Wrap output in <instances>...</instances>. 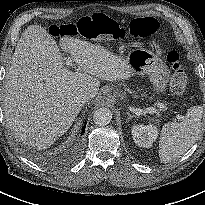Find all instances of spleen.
Segmentation results:
<instances>
[{
  "label": "spleen",
  "mask_w": 205,
  "mask_h": 205,
  "mask_svg": "<svg viewBox=\"0 0 205 205\" xmlns=\"http://www.w3.org/2000/svg\"><path fill=\"white\" fill-rule=\"evenodd\" d=\"M203 108L193 106L188 109L182 122H168L161 130L159 158L169 163L181 157L195 143L201 129Z\"/></svg>",
  "instance_id": "1"
}]
</instances>
